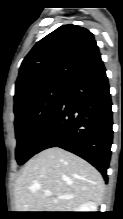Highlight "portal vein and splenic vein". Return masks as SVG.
<instances>
[{"instance_id":"1","label":"portal vein and splenic vein","mask_w":123,"mask_h":219,"mask_svg":"<svg viewBox=\"0 0 123 219\" xmlns=\"http://www.w3.org/2000/svg\"><path fill=\"white\" fill-rule=\"evenodd\" d=\"M44 193H45L46 196H51V194H52L51 191H49V190L44 191ZM57 198L58 199H71L72 196L61 195V196H58Z\"/></svg>"}]
</instances>
